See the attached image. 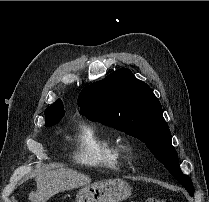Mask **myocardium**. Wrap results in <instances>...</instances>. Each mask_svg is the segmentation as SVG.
I'll return each instance as SVG.
<instances>
[{"instance_id": "obj_1", "label": "myocardium", "mask_w": 209, "mask_h": 202, "mask_svg": "<svg viewBox=\"0 0 209 202\" xmlns=\"http://www.w3.org/2000/svg\"><path fill=\"white\" fill-rule=\"evenodd\" d=\"M133 143L131 141H124L120 146L119 149L123 153H130L133 149Z\"/></svg>"}]
</instances>
